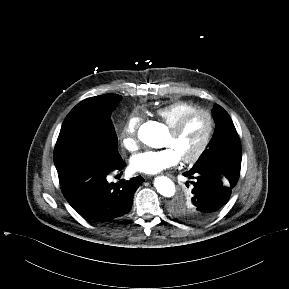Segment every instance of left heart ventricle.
Here are the masks:
<instances>
[{
  "label": "left heart ventricle",
  "instance_id": "b2bd125f",
  "mask_svg": "<svg viewBox=\"0 0 289 289\" xmlns=\"http://www.w3.org/2000/svg\"><path fill=\"white\" fill-rule=\"evenodd\" d=\"M207 131V117L203 114L195 115L189 119L179 134L168 133L164 147H172L180 158L188 157L200 147Z\"/></svg>",
  "mask_w": 289,
  "mask_h": 289
}]
</instances>
